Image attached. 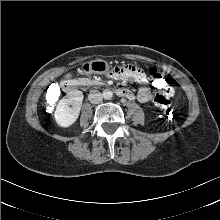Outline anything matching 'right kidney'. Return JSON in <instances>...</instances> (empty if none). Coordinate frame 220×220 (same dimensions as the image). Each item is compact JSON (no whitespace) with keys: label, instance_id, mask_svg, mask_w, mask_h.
Masks as SVG:
<instances>
[{"label":"right kidney","instance_id":"ca27d5eb","mask_svg":"<svg viewBox=\"0 0 220 220\" xmlns=\"http://www.w3.org/2000/svg\"><path fill=\"white\" fill-rule=\"evenodd\" d=\"M83 101V93L78 90L63 97L55 110V121L61 127H69L77 120Z\"/></svg>","mask_w":220,"mask_h":220}]
</instances>
